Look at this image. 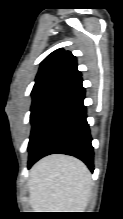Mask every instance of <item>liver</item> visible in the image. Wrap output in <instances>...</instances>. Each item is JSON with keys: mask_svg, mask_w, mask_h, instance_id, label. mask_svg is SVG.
Listing matches in <instances>:
<instances>
[{"mask_svg": "<svg viewBox=\"0 0 123 219\" xmlns=\"http://www.w3.org/2000/svg\"><path fill=\"white\" fill-rule=\"evenodd\" d=\"M29 204L35 212H84L91 192V174L79 159L52 154L30 170Z\"/></svg>", "mask_w": 123, "mask_h": 219, "instance_id": "obj_1", "label": "liver"}]
</instances>
